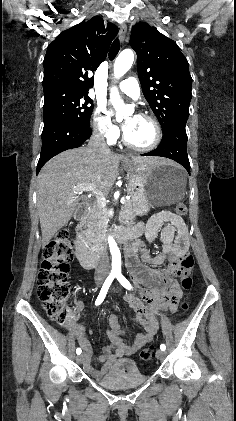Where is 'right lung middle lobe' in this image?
Masks as SVG:
<instances>
[{
	"label": "right lung middle lobe",
	"mask_w": 236,
	"mask_h": 421,
	"mask_svg": "<svg viewBox=\"0 0 236 421\" xmlns=\"http://www.w3.org/2000/svg\"><path fill=\"white\" fill-rule=\"evenodd\" d=\"M92 102L87 92L44 89V128L56 122H67L90 129V116L94 107Z\"/></svg>",
	"instance_id": "right-lung-middle-lobe-1"
}]
</instances>
